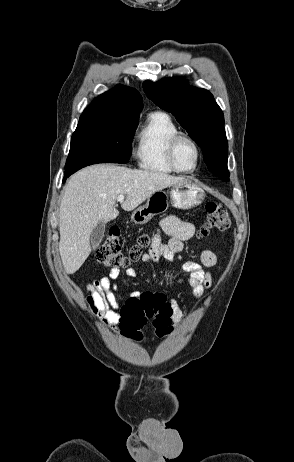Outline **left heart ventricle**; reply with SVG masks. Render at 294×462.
Segmentation results:
<instances>
[{
    "label": "left heart ventricle",
    "instance_id": "1",
    "mask_svg": "<svg viewBox=\"0 0 294 462\" xmlns=\"http://www.w3.org/2000/svg\"><path fill=\"white\" fill-rule=\"evenodd\" d=\"M176 162L181 169L189 170L195 166L196 151L188 141H181L176 148Z\"/></svg>",
    "mask_w": 294,
    "mask_h": 462
}]
</instances>
